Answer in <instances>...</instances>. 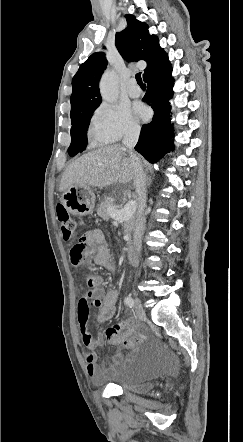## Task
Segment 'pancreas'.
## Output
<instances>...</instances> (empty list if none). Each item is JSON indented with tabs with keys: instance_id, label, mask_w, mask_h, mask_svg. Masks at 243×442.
Masks as SVG:
<instances>
[{
	"instance_id": "1",
	"label": "pancreas",
	"mask_w": 243,
	"mask_h": 442,
	"mask_svg": "<svg viewBox=\"0 0 243 442\" xmlns=\"http://www.w3.org/2000/svg\"><path fill=\"white\" fill-rule=\"evenodd\" d=\"M109 208H114V209H118L119 207L116 206L112 201L110 200H104L103 202H101V204L99 205L98 209H97V214L103 218L104 220H109L111 218V216L109 215L108 209ZM125 227L126 229L131 232L133 230L134 227V219L131 218L128 221H126L125 223Z\"/></svg>"
}]
</instances>
